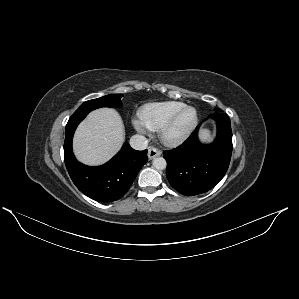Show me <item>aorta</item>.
<instances>
[{"mask_svg":"<svg viewBox=\"0 0 299 299\" xmlns=\"http://www.w3.org/2000/svg\"><path fill=\"white\" fill-rule=\"evenodd\" d=\"M153 167L157 170H164L166 168V160L163 157H157L152 162Z\"/></svg>","mask_w":299,"mask_h":299,"instance_id":"1","label":"aorta"}]
</instances>
